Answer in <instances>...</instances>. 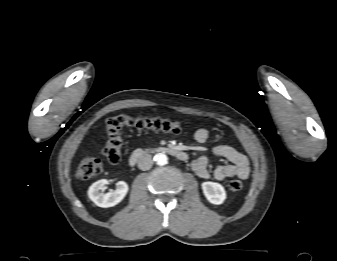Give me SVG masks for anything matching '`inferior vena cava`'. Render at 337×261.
<instances>
[{
  "label": "inferior vena cava",
  "instance_id": "602c4592",
  "mask_svg": "<svg viewBox=\"0 0 337 261\" xmlns=\"http://www.w3.org/2000/svg\"><path fill=\"white\" fill-rule=\"evenodd\" d=\"M153 165V160L151 155H142L138 160V168L142 171L149 170Z\"/></svg>",
  "mask_w": 337,
  "mask_h": 261
}]
</instances>
